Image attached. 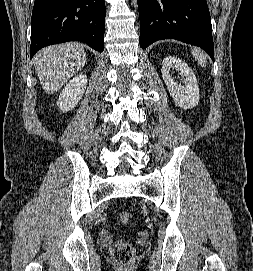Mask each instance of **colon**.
<instances>
[{
    "instance_id": "1",
    "label": "colon",
    "mask_w": 253,
    "mask_h": 271,
    "mask_svg": "<svg viewBox=\"0 0 253 271\" xmlns=\"http://www.w3.org/2000/svg\"><path fill=\"white\" fill-rule=\"evenodd\" d=\"M118 219L122 224L128 223L130 219L129 212L121 211L118 215ZM113 257L118 262L129 263L134 258V248L129 242L125 240H119L113 247Z\"/></svg>"
}]
</instances>
